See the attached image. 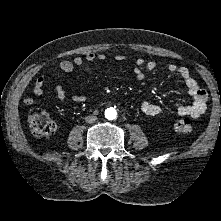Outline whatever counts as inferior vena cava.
<instances>
[{"instance_id": "inferior-vena-cava-1", "label": "inferior vena cava", "mask_w": 221, "mask_h": 221, "mask_svg": "<svg viewBox=\"0 0 221 221\" xmlns=\"http://www.w3.org/2000/svg\"><path fill=\"white\" fill-rule=\"evenodd\" d=\"M96 120H97L96 116H87V117H85V122L89 123V124L94 123Z\"/></svg>"}]
</instances>
